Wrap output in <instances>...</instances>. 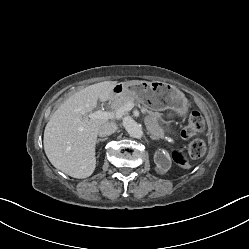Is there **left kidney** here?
Returning a JSON list of instances; mask_svg holds the SVG:
<instances>
[{
	"label": "left kidney",
	"mask_w": 249,
	"mask_h": 249,
	"mask_svg": "<svg viewBox=\"0 0 249 249\" xmlns=\"http://www.w3.org/2000/svg\"><path fill=\"white\" fill-rule=\"evenodd\" d=\"M170 151L164 150L160 151L154 156V161L156 163V171L160 174H165L171 167Z\"/></svg>",
	"instance_id": "1"
}]
</instances>
